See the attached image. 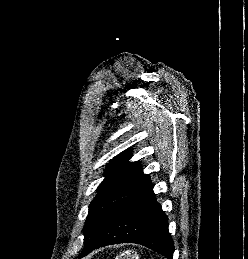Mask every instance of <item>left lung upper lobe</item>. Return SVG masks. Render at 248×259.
<instances>
[{
  "instance_id": "obj_1",
  "label": "left lung upper lobe",
  "mask_w": 248,
  "mask_h": 259,
  "mask_svg": "<svg viewBox=\"0 0 248 259\" xmlns=\"http://www.w3.org/2000/svg\"><path fill=\"white\" fill-rule=\"evenodd\" d=\"M130 152L115 157L105 170L106 178L98 187L99 194L89 206L84 227V240L132 202L152 191L149 177L138 162H128Z\"/></svg>"
}]
</instances>
